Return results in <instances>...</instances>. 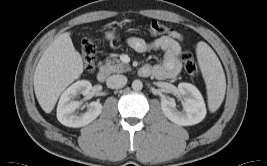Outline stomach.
Wrapping results in <instances>:
<instances>
[{
    "label": "stomach",
    "mask_w": 267,
    "mask_h": 166,
    "mask_svg": "<svg viewBox=\"0 0 267 166\" xmlns=\"http://www.w3.org/2000/svg\"><path fill=\"white\" fill-rule=\"evenodd\" d=\"M105 37L107 40H113L115 38L114 31L106 32Z\"/></svg>",
    "instance_id": "obj_1"
}]
</instances>
